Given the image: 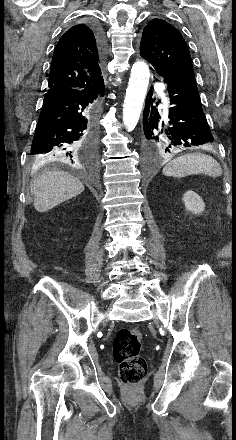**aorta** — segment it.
Returning <instances> with one entry per match:
<instances>
[{
    "label": "aorta",
    "mask_w": 236,
    "mask_h": 440,
    "mask_svg": "<svg viewBox=\"0 0 236 440\" xmlns=\"http://www.w3.org/2000/svg\"><path fill=\"white\" fill-rule=\"evenodd\" d=\"M150 71L144 61L133 64L123 105V123L128 132L135 129L143 108Z\"/></svg>",
    "instance_id": "1"
}]
</instances>
